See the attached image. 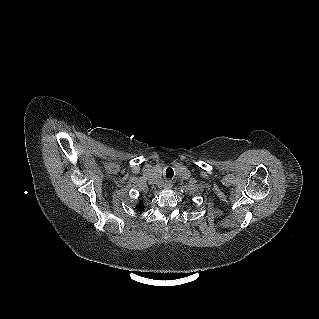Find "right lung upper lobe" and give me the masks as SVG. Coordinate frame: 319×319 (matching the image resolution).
Wrapping results in <instances>:
<instances>
[{
	"label": "right lung upper lobe",
	"instance_id": "right-lung-upper-lobe-1",
	"mask_svg": "<svg viewBox=\"0 0 319 319\" xmlns=\"http://www.w3.org/2000/svg\"><path fill=\"white\" fill-rule=\"evenodd\" d=\"M138 209H140V210H144L143 202H140V203H139V205H138Z\"/></svg>",
	"mask_w": 319,
	"mask_h": 319
}]
</instances>
